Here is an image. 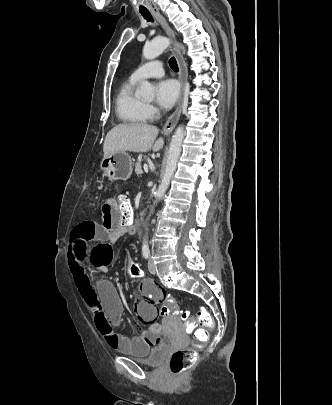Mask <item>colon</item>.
Listing matches in <instances>:
<instances>
[{"label":"colon","instance_id":"colon-1","mask_svg":"<svg viewBox=\"0 0 332 405\" xmlns=\"http://www.w3.org/2000/svg\"><path fill=\"white\" fill-rule=\"evenodd\" d=\"M118 203L116 208L120 209L121 223H125L133 218L134 210L130 203L129 198L125 194H118ZM107 248H93L92 255L94 260V268H117V262L119 259L118 253H113L112 249L116 248L115 240L107 241ZM126 263L131 261L129 256L124 258ZM128 271L132 273L134 278H141L143 273L141 267L137 262H131ZM155 288H162L161 286H155ZM97 296V295H96ZM162 306H159L156 320L163 322L165 319H171L172 313L180 316L184 329L187 332H191L193 328L197 326V321L191 319L188 311H183L178 308L177 300L171 295L163 297ZM197 318L202 324L203 328L198 329L195 332V340L197 342H204L207 339L208 332L213 329V321L205 309H200L197 312ZM196 360V352L193 349H179L171 354L170 358V371L174 375L181 374L188 368H190Z\"/></svg>","mask_w":332,"mask_h":405}]
</instances>
